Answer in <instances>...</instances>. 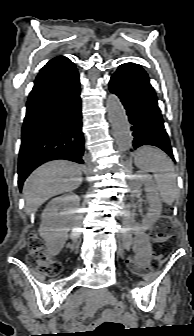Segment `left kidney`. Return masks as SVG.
Instances as JSON below:
<instances>
[{
  "label": "left kidney",
  "instance_id": "left-kidney-1",
  "mask_svg": "<svg viewBox=\"0 0 194 336\" xmlns=\"http://www.w3.org/2000/svg\"><path fill=\"white\" fill-rule=\"evenodd\" d=\"M132 180L133 196L139 193L143 186L147 192V200L149 202L148 213L142 220V224H135L136 229L145 231L159 218L162 210L161 200L158 195L157 187L150 174L138 172L133 176Z\"/></svg>",
  "mask_w": 194,
  "mask_h": 336
}]
</instances>
